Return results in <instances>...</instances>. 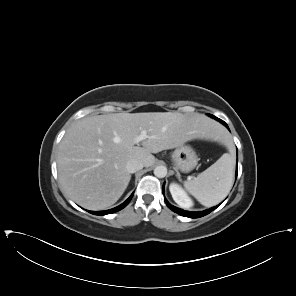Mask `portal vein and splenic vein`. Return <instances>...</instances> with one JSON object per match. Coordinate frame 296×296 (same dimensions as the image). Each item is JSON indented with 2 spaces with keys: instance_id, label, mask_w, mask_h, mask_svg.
<instances>
[{
  "instance_id": "obj_1",
  "label": "portal vein and splenic vein",
  "mask_w": 296,
  "mask_h": 296,
  "mask_svg": "<svg viewBox=\"0 0 296 296\" xmlns=\"http://www.w3.org/2000/svg\"><path fill=\"white\" fill-rule=\"evenodd\" d=\"M148 138L147 132L145 130H143L140 135H138L135 139H134V144H138L139 142H141L142 140Z\"/></svg>"
}]
</instances>
